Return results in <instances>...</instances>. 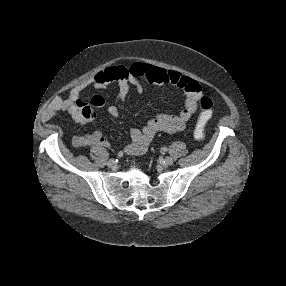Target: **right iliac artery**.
<instances>
[{
	"instance_id": "82829eb1",
	"label": "right iliac artery",
	"mask_w": 286,
	"mask_h": 286,
	"mask_svg": "<svg viewBox=\"0 0 286 286\" xmlns=\"http://www.w3.org/2000/svg\"><path fill=\"white\" fill-rule=\"evenodd\" d=\"M117 158H123V150H118Z\"/></svg>"
}]
</instances>
